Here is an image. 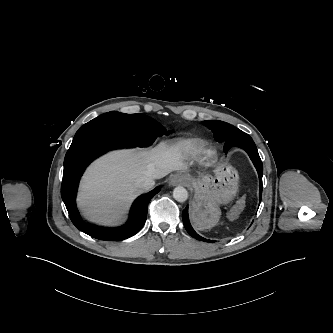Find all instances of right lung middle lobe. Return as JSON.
<instances>
[{
  "instance_id": "dd1d6c3e",
  "label": "right lung middle lobe",
  "mask_w": 333,
  "mask_h": 333,
  "mask_svg": "<svg viewBox=\"0 0 333 333\" xmlns=\"http://www.w3.org/2000/svg\"><path fill=\"white\" fill-rule=\"evenodd\" d=\"M92 132L113 135L138 147L150 146L157 137L172 133L144 114H124L116 111L102 114L84 124L76 132L74 139Z\"/></svg>"
}]
</instances>
